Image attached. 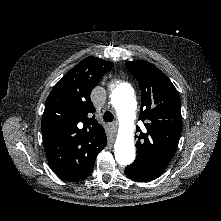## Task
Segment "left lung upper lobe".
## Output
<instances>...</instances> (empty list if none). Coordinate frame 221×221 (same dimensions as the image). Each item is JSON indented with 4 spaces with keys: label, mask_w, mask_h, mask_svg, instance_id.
Segmentation results:
<instances>
[{
    "label": "left lung upper lobe",
    "mask_w": 221,
    "mask_h": 221,
    "mask_svg": "<svg viewBox=\"0 0 221 221\" xmlns=\"http://www.w3.org/2000/svg\"><path fill=\"white\" fill-rule=\"evenodd\" d=\"M126 67L141 89L139 120L145 128L136 127L137 156L129 165L140 171H164L173 157L182 130L180 97L172 82L153 64L127 62Z\"/></svg>",
    "instance_id": "left-lung-upper-lobe-1"
}]
</instances>
